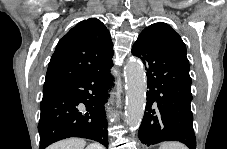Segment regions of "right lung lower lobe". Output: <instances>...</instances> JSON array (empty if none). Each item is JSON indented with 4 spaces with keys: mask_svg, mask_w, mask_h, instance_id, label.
<instances>
[{
    "mask_svg": "<svg viewBox=\"0 0 227 149\" xmlns=\"http://www.w3.org/2000/svg\"><path fill=\"white\" fill-rule=\"evenodd\" d=\"M112 60L75 80L59 84L40 103L39 149L69 137H82L108 147L104 103L113 77Z\"/></svg>",
    "mask_w": 227,
    "mask_h": 149,
    "instance_id": "obj_1",
    "label": "right lung lower lobe"
}]
</instances>
